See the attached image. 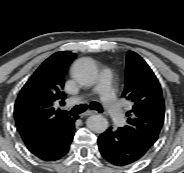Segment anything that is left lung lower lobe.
I'll return each mask as SVG.
<instances>
[{
    "mask_svg": "<svg viewBox=\"0 0 184 173\" xmlns=\"http://www.w3.org/2000/svg\"><path fill=\"white\" fill-rule=\"evenodd\" d=\"M98 147L107 161L118 166L131 164L148 151L122 128H109L102 133L98 138Z\"/></svg>",
    "mask_w": 184,
    "mask_h": 173,
    "instance_id": "0a47b994",
    "label": "left lung lower lobe"
}]
</instances>
